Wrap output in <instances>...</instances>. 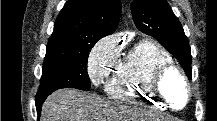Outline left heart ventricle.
<instances>
[{
    "mask_svg": "<svg viewBox=\"0 0 217 121\" xmlns=\"http://www.w3.org/2000/svg\"><path fill=\"white\" fill-rule=\"evenodd\" d=\"M163 90L174 105L179 107L184 103V85L177 76L168 77L163 83Z\"/></svg>",
    "mask_w": 217,
    "mask_h": 121,
    "instance_id": "obj_1",
    "label": "left heart ventricle"
}]
</instances>
